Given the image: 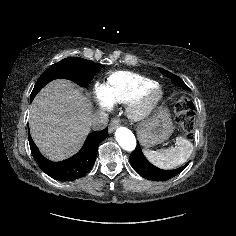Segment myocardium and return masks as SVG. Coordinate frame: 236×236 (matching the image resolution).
Returning a JSON list of instances; mask_svg holds the SVG:
<instances>
[{"label": "myocardium", "mask_w": 236, "mask_h": 236, "mask_svg": "<svg viewBox=\"0 0 236 236\" xmlns=\"http://www.w3.org/2000/svg\"><path fill=\"white\" fill-rule=\"evenodd\" d=\"M164 96L162 87L155 84L143 90L136 98L127 103L128 118L136 123L147 120Z\"/></svg>", "instance_id": "obj_1"}]
</instances>
